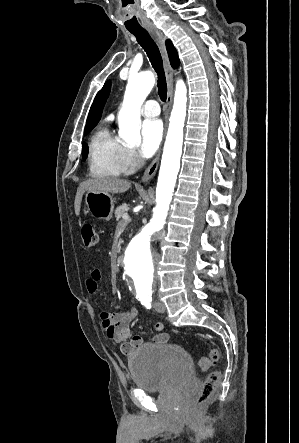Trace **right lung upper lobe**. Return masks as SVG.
Instances as JSON below:
<instances>
[{"label": "right lung upper lobe", "instance_id": "right-lung-upper-lobe-1", "mask_svg": "<svg viewBox=\"0 0 299 443\" xmlns=\"http://www.w3.org/2000/svg\"><path fill=\"white\" fill-rule=\"evenodd\" d=\"M166 48L168 51L169 59L173 68H177L179 66V58L176 49L172 45L171 41H166ZM111 88L110 81L106 82L103 88L97 93L94 102L89 111L88 119L86 126L97 124L101 118L102 110L106 99L108 98L109 92Z\"/></svg>", "mask_w": 299, "mask_h": 443}]
</instances>
